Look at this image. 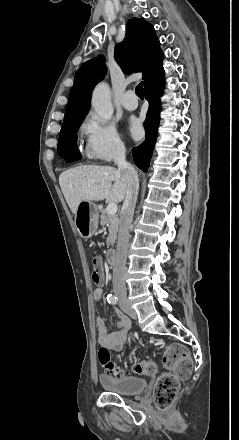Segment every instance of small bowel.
Listing matches in <instances>:
<instances>
[{"instance_id": "1", "label": "small bowel", "mask_w": 239, "mask_h": 440, "mask_svg": "<svg viewBox=\"0 0 239 440\" xmlns=\"http://www.w3.org/2000/svg\"><path fill=\"white\" fill-rule=\"evenodd\" d=\"M103 296L102 288H97L94 291L93 297L96 302H100ZM117 327L116 332H108L105 320L101 317L96 319V331L98 342L103 349L119 351L126 343L128 331L130 327L129 319L121 312H116Z\"/></svg>"}]
</instances>
